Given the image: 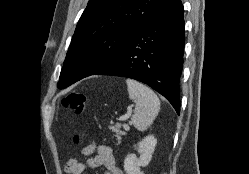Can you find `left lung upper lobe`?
<instances>
[{
    "label": "left lung upper lobe",
    "mask_w": 249,
    "mask_h": 174,
    "mask_svg": "<svg viewBox=\"0 0 249 174\" xmlns=\"http://www.w3.org/2000/svg\"><path fill=\"white\" fill-rule=\"evenodd\" d=\"M163 0H89L62 67L59 89L96 74L128 45Z\"/></svg>",
    "instance_id": "1"
}]
</instances>
